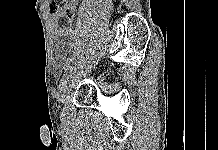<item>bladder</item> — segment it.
I'll return each mask as SVG.
<instances>
[{
  "mask_svg": "<svg viewBox=\"0 0 218 150\" xmlns=\"http://www.w3.org/2000/svg\"><path fill=\"white\" fill-rule=\"evenodd\" d=\"M62 70H63V68L61 67L60 69H58V72H59V73H61V72H62ZM63 76H64V78H65V77H67V76H68V74H67V73H64V75H63Z\"/></svg>",
  "mask_w": 218,
  "mask_h": 150,
  "instance_id": "1",
  "label": "bladder"
}]
</instances>
